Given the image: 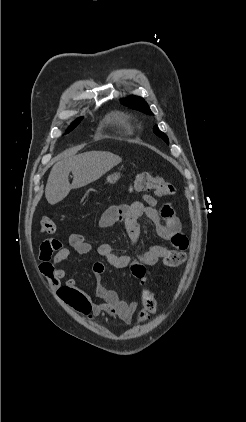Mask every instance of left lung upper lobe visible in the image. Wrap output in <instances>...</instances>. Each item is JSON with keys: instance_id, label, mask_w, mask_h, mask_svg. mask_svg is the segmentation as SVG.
<instances>
[{"instance_id": "1", "label": "left lung upper lobe", "mask_w": 246, "mask_h": 422, "mask_svg": "<svg viewBox=\"0 0 246 422\" xmlns=\"http://www.w3.org/2000/svg\"><path fill=\"white\" fill-rule=\"evenodd\" d=\"M121 103L123 105H126L130 108L138 109L144 113L152 114L151 110L149 109V106L147 103L140 97L131 96L125 99L121 100ZM154 133L162 138L166 143H168V137L166 134L161 132L157 126L154 127Z\"/></svg>"}]
</instances>
